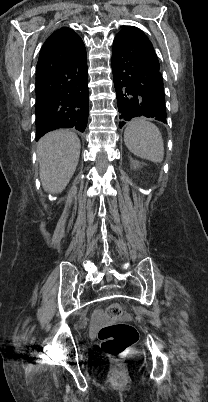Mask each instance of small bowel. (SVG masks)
Segmentation results:
<instances>
[{
	"label": "small bowel",
	"mask_w": 208,
	"mask_h": 402,
	"mask_svg": "<svg viewBox=\"0 0 208 402\" xmlns=\"http://www.w3.org/2000/svg\"><path fill=\"white\" fill-rule=\"evenodd\" d=\"M92 315H93L92 322L94 324H103V323H105L106 318H105V316H103L104 312H101L100 310H94L92 312Z\"/></svg>",
	"instance_id": "c3829d8e"
}]
</instances>
